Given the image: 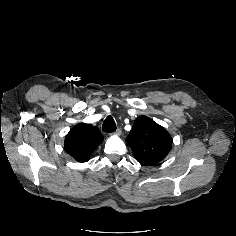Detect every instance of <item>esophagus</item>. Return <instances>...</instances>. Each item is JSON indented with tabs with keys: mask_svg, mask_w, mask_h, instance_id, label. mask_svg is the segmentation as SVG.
Masks as SVG:
<instances>
[{
	"mask_svg": "<svg viewBox=\"0 0 236 236\" xmlns=\"http://www.w3.org/2000/svg\"><path fill=\"white\" fill-rule=\"evenodd\" d=\"M121 134H122L121 129H117L115 132L112 133V135H115V136H120Z\"/></svg>",
	"mask_w": 236,
	"mask_h": 236,
	"instance_id": "esophagus-1",
	"label": "esophagus"
}]
</instances>
